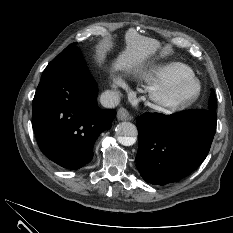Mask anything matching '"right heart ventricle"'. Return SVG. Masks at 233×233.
<instances>
[{"instance_id":"e07e8e85","label":"right heart ventricle","mask_w":233,"mask_h":233,"mask_svg":"<svg viewBox=\"0 0 233 233\" xmlns=\"http://www.w3.org/2000/svg\"><path fill=\"white\" fill-rule=\"evenodd\" d=\"M190 76H193L192 69L180 62L159 65L144 73V79L153 86L167 85Z\"/></svg>"}]
</instances>
